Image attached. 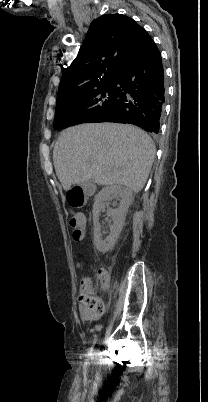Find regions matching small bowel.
<instances>
[{
	"label": "small bowel",
	"instance_id": "obj_1",
	"mask_svg": "<svg viewBox=\"0 0 208 402\" xmlns=\"http://www.w3.org/2000/svg\"><path fill=\"white\" fill-rule=\"evenodd\" d=\"M96 274L98 276H101L102 278L100 279V283H102V287H104L105 289H108L110 287V284L108 283V276H109V271L108 270H101V271H97ZM81 280H89V278H82ZM101 321V318L99 315H92L90 316H86L84 318V322H82L81 327L84 330H91L93 328V324H99ZM108 327L110 329H113L115 327V324L113 322H110L108 324Z\"/></svg>",
	"mask_w": 208,
	"mask_h": 402
}]
</instances>
